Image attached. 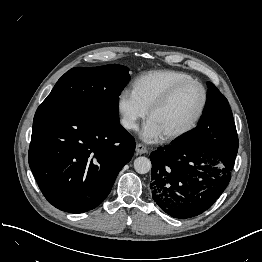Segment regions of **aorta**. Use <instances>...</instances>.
I'll list each match as a JSON object with an SVG mask.
<instances>
[{"mask_svg": "<svg viewBox=\"0 0 262 262\" xmlns=\"http://www.w3.org/2000/svg\"><path fill=\"white\" fill-rule=\"evenodd\" d=\"M134 169L139 174H146L151 170V161L147 157H138L134 161Z\"/></svg>", "mask_w": 262, "mask_h": 262, "instance_id": "1", "label": "aorta"}]
</instances>
